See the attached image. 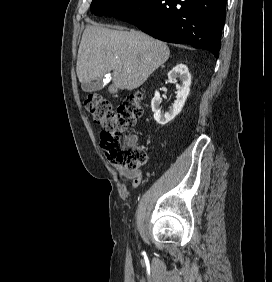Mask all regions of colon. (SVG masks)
<instances>
[{"label": "colon", "mask_w": 272, "mask_h": 282, "mask_svg": "<svg viewBox=\"0 0 272 282\" xmlns=\"http://www.w3.org/2000/svg\"><path fill=\"white\" fill-rule=\"evenodd\" d=\"M141 100L142 95L137 93L114 107L99 95H89L85 99L86 110L106 128L101 134V147L108 161L118 169L136 170L146 161L143 149L135 145L131 136L126 134L143 113Z\"/></svg>", "instance_id": "obj_1"}]
</instances>
